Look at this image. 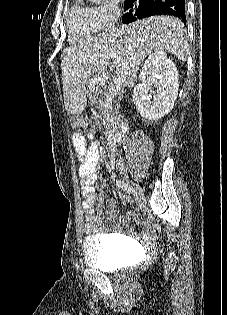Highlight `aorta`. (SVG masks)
Returning <instances> with one entry per match:
<instances>
[{
  "label": "aorta",
  "instance_id": "1",
  "mask_svg": "<svg viewBox=\"0 0 227 315\" xmlns=\"http://www.w3.org/2000/svg\"><path fill=\"white\" fill-rule=\"evenodd\" d=\"M89 1L92 3H100L101 2V0H89Z\"/></svg>",
  "mask_w": 227,
  "mask_h": 315
}]
</instances>
